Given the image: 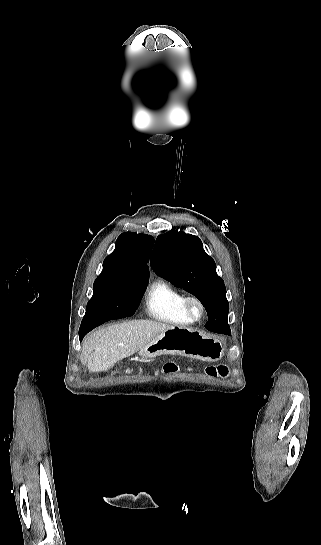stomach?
Returning a JSON list of instances; mask_svg holds the SVG:
<instances>
[{
    "label": "stomach",
    "mask_w": 321,
    "mask_h": 545,
    "mask_svg": "<svg viewBox=\"0 0 321 545\" xmlns=\"http://www.w3.org/2000/svg\"><path fill=\"white\" fill-rule=\"evenodd\" d=\"M225 347L222 339L205 337L201 331L174 327L152 339L141 349L142 359H155L159 355H184L200 361H220Z\"/></svg>",
    "instance_id": "obj_1"
}]
</instances>
